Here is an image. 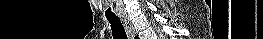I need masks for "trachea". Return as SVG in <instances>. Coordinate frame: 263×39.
Segmentation results:
<instances>
[{"label": "trachea", "instance_id": "3493384b", "mask_svg": "<svg viewBox=\"0 0 263 39\" xmlns=\"http://www.w3.org/2000/svg\"><path fill=\"white\" fill-rule=\"evenodd\" d=\"M111 25L112 36L114 39H127L125 29L119 18H107Z\"/></svg>", "mask_w": 263, "mask_h": 39}]
</instances>
